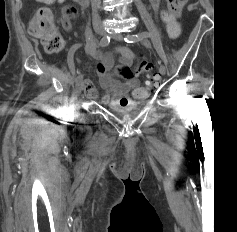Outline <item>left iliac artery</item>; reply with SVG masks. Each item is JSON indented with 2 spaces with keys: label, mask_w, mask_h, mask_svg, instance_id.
I'll use <instances>...</instances> for the list:
<instances>
[{
  "label": "left iliac artery",
  "mask_w": 237,
  "mask_h": 232,
  "mask_svg": "<svg viewBox=\"0 0 237 232\" xmlns=\"http://www.w3.org/2000/svg\"><path fill=\"white\" fill-rule=\"evenodd\" d=\"M148 37H152V34L149 32H141L138 34L127 35L124 40L127 43H135V42H138V41H140L144 38H148Z\"/></svg>",
  "instance_id": "1"
}]
</instances>
